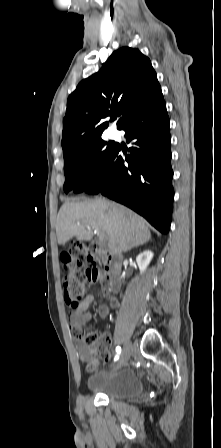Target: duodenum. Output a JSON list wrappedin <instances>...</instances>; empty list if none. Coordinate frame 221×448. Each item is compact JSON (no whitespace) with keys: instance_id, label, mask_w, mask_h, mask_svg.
Instances as JSON below:
<instances>
[{"instance_id":"1","label":"duodenum","mask_w":221,"mask_h":448,"mask_svg":"<svg viewBox=\"0 0 221 448\" xmlns=\"http://www.w3.org/2000/svg\"><path fill=\"white\" fill-rule=\"evenodd\" d=\"M108 256L109 259L105 267L107 269L109 287L111 290L116 291L119 284L118 276L121 270V262L113 252H109Z\"/></svg>"}]
</instances>
